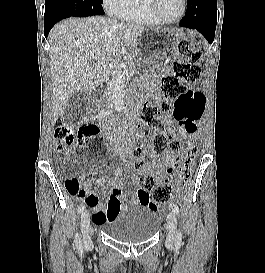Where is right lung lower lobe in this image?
<instances>
[{
  "mask_svg": "<svg viewBox=\"0 0 265 273\" xmlns=\"http://www.w3.org/2000/svg\"><path fill=\"white\" fill-rule=\"evenodd\" d=\"M64 18H67V17L66 16H58V17L47 19L44 21V34H45L46 38H47L48 33L50 32L51 28L54 26V24Z\"/></svg>",
  "mask_w": 265,
  "mask_h": 273,
  "instance_id": "obj_1",
  "label": "right lung lower lobe"
}]
</instances>
